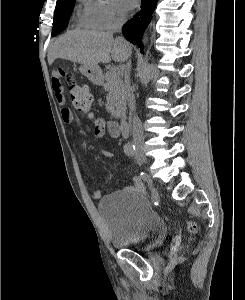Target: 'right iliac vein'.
Here are the masks:
<instances>
[{"mask_svg": "<svg viewBox=\"0 0 245 300\" xmlns=\"http://www.w3.org/2000/svg\"><path fill=\"white\" fill-rule=\"evenodd\" d=\"M137 156H138V158L140 159V161L142 162V163H147V158H146V156L144 155V153L143 152H139L138 154H137Z\"/></svg>", "mask_w": 245, "mask_h": 300, "instance_id": "63e3f726", "label": "right iliac vein"}]
</instances>
